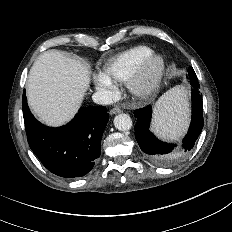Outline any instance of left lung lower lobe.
<instances>
[{
  "label": "left lung lower lobe",
  "instance_id": "left-lung-lower-lobe-1",
  "mask_svg": "<svg viewBox=\"0 0 232 232\" xmlns=\"http://www.w3.org/2000/svg\"><path fill=\"white\" fill-rule=\"evenodd\" d=\"M189 74L192 90V119L191 124L183 139L182 149L173 152L175 144H168L158 140L152 132L149 131L152 107L150 105L137 109L134 112L137 122L135 124V138L144 152L145 156L157 165H168L185 156L193 147L200 135L203 119V102L202 95L199 92V83L195 71L191 68Z\"/></svg>",
  "mask_w": 232,
  "mask_h": 232
}]
</instances>
